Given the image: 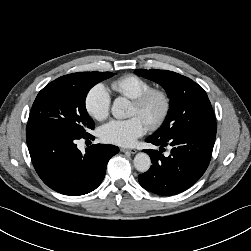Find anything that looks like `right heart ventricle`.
Masks as SVG:
<instances>
[{
    "label": "right heart ventricle",
    "instance_id": "1",
    "mask_svg": "<svg viewBox=\"0 0 251 251\" xmlns=\"http://www.w3.org/2000/svg\"><path fill=\"white\" fill-rule=\"evenodd\" d=\"M111 88L117 94L133 100L145 91L151 89L152 85L143 77L128 74L112 81Z\"/></svg>",
    "mask_w": 251,
    "mask_h": 251
}]
</instances>
